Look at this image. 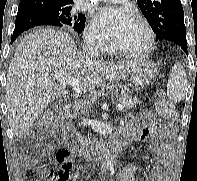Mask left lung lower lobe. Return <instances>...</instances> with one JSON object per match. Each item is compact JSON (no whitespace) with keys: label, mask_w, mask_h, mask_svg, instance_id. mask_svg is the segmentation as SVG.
<instances>
[{"label":"left lung lower lobe","mask_w":197,"mask_h":181,"mask_svg":"<svg viewBox=\"0 0 197 181\" xmlns=\"http://www.w3.org/2000/svg\"><path fill=\"white\" fill-rule=\"evenodd\" d=\"M172 42L178 44L179 46H181V48L183 49V51L187 53V40H186V36H176L172 38Z\"/></svg>","instance_id":"1"}]
</instances>
